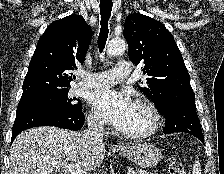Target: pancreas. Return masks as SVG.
Here are the masks:
<instances>
[{"label":"pancreas","instance_id":"cf45deb5","mask_svg":"<svg viewBox=\"0 0 224 174\" xmlns=\"http://www.w3.org/2000/svg\"><path fill=\"white\" fill-rule=\"evenodd\" d=\"M137 174H152V173L142 171V170H137Z\"/></svg>","mask_w":224,"mask_h":174}]
</instances>
